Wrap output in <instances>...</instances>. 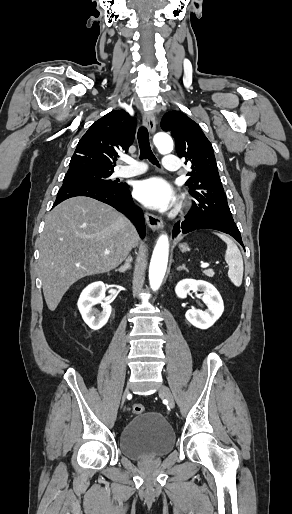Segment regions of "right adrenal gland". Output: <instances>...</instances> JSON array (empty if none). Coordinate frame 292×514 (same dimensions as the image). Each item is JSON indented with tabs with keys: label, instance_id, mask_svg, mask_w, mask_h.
Here are the masks:
<instances>
[{
	"label": "right adrenal gland",
	"instance_id": "obj_1",
	"mask_svg": "<svg viewBox=\"0 0 292 514\" xmlns=\"http://www.w3.org/2000/svg\"><path fill=\"white\" fill-rule=\"evenodd\" d=\"M131 262H133L131 256H128L124 266H121V268H118V270H116V272H127V270H131L132 266H131Z\"/></svg>",
	"mask_w": 292,
	"mask_h": 514
}]
</instances>
